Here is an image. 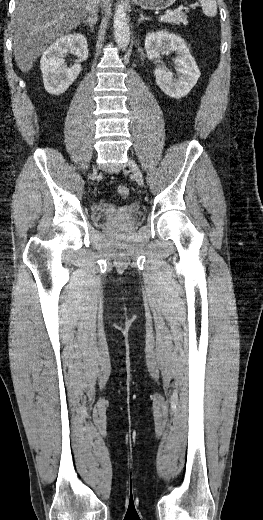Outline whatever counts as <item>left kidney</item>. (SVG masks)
Here are the masks:
<instances>
[{
  "instance_id": "5707ae66",
  "label": "left kidney",
  "mask_w": 263,
  "mask_h": 520,
  "mask_svg": "<svg viewBox=\"0 0 263 520\" xmlns=\"http://www.w3.org/2000/svg\"><path fill=\"white\" fill-rule=\"evenodd\" d=\"M145 49L147 57L151 60H160L161 55L166 51L177 53L174 60L177 79H174L173 74L163 67H157L154 75L157 85L168 96L178 99L187 95L197 83L201 73L184 40L166 31L152 32L146 35Z\"/></svg>"
}]
</instances>
